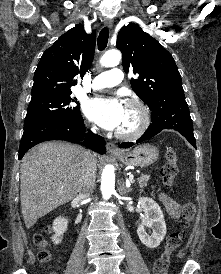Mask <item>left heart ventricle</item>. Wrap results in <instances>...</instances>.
<instances>
[{
	"instance_id": "left-heart-ventricle-1",
	"label": "left heart ventricle",
	"mask_w": 221,
	"mask_h": 274,
	"mask_svg": "<svg viewBox=\"0 0 221 274\" xmlns=\"http://www.w3.org/2000/svg\"><path fill=\"white\" fill-rule=\"evenodd\" d=\"M138 122V112L134 108L125 107L123 119L118 130H131L138 124Z\"/></svg>"
}]
</instances>
